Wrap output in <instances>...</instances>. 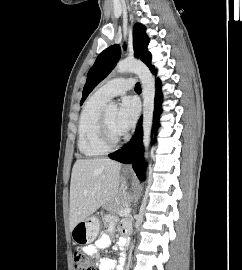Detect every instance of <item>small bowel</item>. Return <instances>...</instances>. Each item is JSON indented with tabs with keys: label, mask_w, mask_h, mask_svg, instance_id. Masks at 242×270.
Masks as SVG:
<instances>
[{
	"label": "small bowel",
	"mask_w": 242,
	"mask_h": 270,
	"mask_svg": "<svg viewBox=\"0 0 242 270\" xmlns=\"http://www.w3.org/2000/svg\"><path fill=\"white\" fill-rule=\"evenodd\" d=\"M108 228L107 231L102 234L94 245L87 246L85 253L89 256H97L100 250L107 248L111 244V233L114 229L115 219L109 217L107 219ZM130 229V223L128 220H123L121 223V232L127 234ZM119 247L126 245V240L122 239L118 241ZM123 257L120 255V261L117 262L114 258L103 257L99 259V270H123Z\"/></svg>",
	"instance_id": "small-bowel-1"
}]
</instances>
